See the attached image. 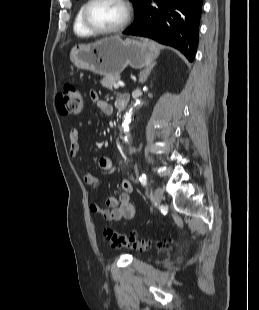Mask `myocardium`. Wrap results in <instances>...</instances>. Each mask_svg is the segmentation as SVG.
<instances>
[{"label":"myocardium","mask_w":259,"mask_h":310,"mask_svg":"<svg viewBox=\"0 0 259 310\" xmlns=\"http://www.w3.org/2000/svg\"><path fill=\"white\" fill-rule=\"evenodd\" d=\"M97 1L98 0H88L86 4L84 5L83 11H82L83 25L90 33L94 35H111V34L119 33L127 28V26L129 25L131 21V17H132V9L127 0H118V2H120L125 9V17L123 21L118 26L113 27V28H107V29L99 28L90 21V18H89L90 8Z\"/></svg>","instance_id":"obj_1"}]
</instances>
